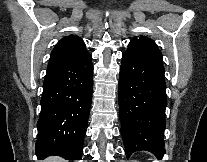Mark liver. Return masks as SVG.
Listing matches in <instances>:
<instances>
[{
  "label": "liver",
  "instance_id": "6515ba94",
  "mask_svg": "<svg viewBox=\"0 0 207 162\" xmlns=\"http://www.w3.org/2000/svg\"><path fill=\"white\" fill-rule=\"evenodd\" d=\"M42 162H67V161H65L64 159H61L60 157L52 156V157L45 159Z\"/></svg>",
  "mask_w": 207,
  "mask_h": 162
}]
</instances>
